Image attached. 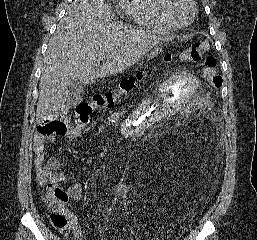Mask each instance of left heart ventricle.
<instances>
[{"label": "left heart ventricle", "instance_id": "1", "mask_svg": "<svg viewBox=\"0 0 257 240\" xmlns=\"http://www.w3.org/2000/svg\"><path fill=\"white\" fill-rule=\"evenodd\" d=\"M169 16L177 23L184 24L192 15V5L189 0H167Z\"/></svg>", "mask_w": 257, "mask_h": 240}]
</instances>
